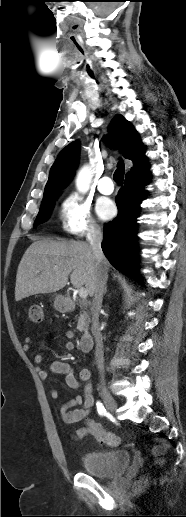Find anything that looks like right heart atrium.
Returning a JSON list of instances; mask_svg holds the SVG:
<instances>
[{
  "label": "right heart atrium",
  "mask_w": 186,
  "mask_h": 517,
  "mask_svg": "<svg viewBox=\"0 0 186 517\" xmlns=\"http://www.w3.org/2000/svg\"><path fill=\"white\" fill-rule=\"evenodd\" d=\"M59 218L63 231L69 235L90 237L99 232L90 204L78 194H70L62 200Z\"/></svg>",
  "instance_id": "obj_1"
}]
</instances>
